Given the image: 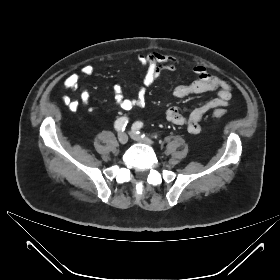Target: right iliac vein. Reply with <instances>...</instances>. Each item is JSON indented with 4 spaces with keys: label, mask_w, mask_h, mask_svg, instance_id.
<instances>
[{
    "label": "right iliac vein",
    "mask_w": 280,
    "mask_h": 280,
    "mask_svg": "<svg viewBox=\"0 0 280 280\" xmlns=\"http://www.w3.org/2000/svg\"><path fill=\"white\" fill-rule=\"evenodd\" d=\"M118 141L120 144H126L128 142V135L126 133H120L118 135Z\"/></svg>",
    "instance_id": "1"
}]
</instances>
